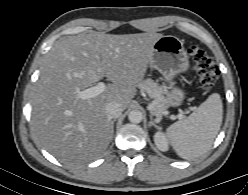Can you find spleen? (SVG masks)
Returning <instances> with one entry per match:
<instances>
[{"mask_svg":"<svg viewBox=\"0 0 248 195\" xmlns=\"http://www.w3.org/2000/svg\"><path fill=\"white\" fill-rule=\"evenodd\" d=\"M222 119L221 97L213 93L187 118L170 125L166 135L181 158L194 159L210 150Z\"/></svg>","mask_w":248,"mask_h":195,"instance_id":"1","label":"spleen"}]
</instances>
